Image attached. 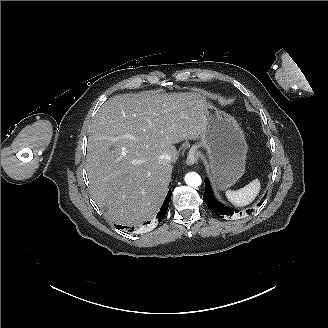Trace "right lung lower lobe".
Returning <instances> with one entry per match:
<instances>
[{"instance_id":"obj_1","label":"right lung lower lobe","mask_w":328,"mask_h":328,"mask_svg":"<svg viewBox=\"0 0 328 328\" xmlns=\"http://www.w3.org/2000/svg\"><path fill=\"white\" fill-rule=\"evenodd\" d=\"M170 199H171V189L168 192V194L166 196V199H165L160 211L158 212L156 218H154V222H159L160 223L161 220L164 218V216L166 215L167 210H168ZM145 224H150V221L146 222ZM117 227L120 228V229L126 228V227L120 226V225H118Z\"/></svg>"}]
</instances>
